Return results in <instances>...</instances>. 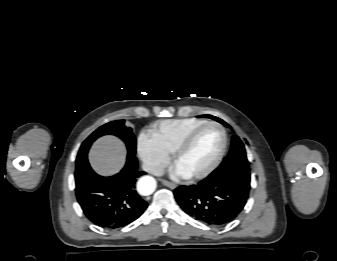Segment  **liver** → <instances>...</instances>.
<instances>
[{"mask_svg":"<svg viewBox=\"0 0 337 261\" xmlns=\"http://www.w3.org/2000/svg\"><path fill=\"white\" fill-rule=\"evenodd\" d=\"M125 158V146L114 136L99 138L89 152V162L92 168L103 176L119 172L124 166Z\"/></svg>","mask_w":337,"mask_h":261,"instance_id":"6515ba94","label":"liver"}]
</instances>
